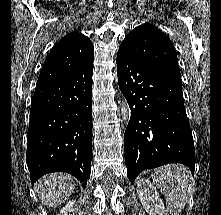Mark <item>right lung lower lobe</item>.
<instances>
[{
	"mask_svg": "<svg viewBox=\"0 0 221 215\" xmlns=\"http://www.w3.org/2000/svg\"><path fill=\"white\" fill-rule=\"evenodd\" d=\"M92 74L93 60L66 77L36 86L26 153L32 183L63 171L86 186L92 160Z\"/></svg>",
	"mask_w": 221,
	"mask_h": 215,
	"instance_id": "obj_1",
	"label": "right lung lower lobe"
}]
</instances>
